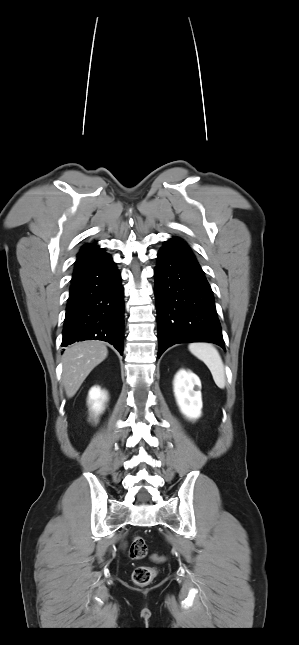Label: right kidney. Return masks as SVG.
Wrapping results in <instances>:
<instances>
[{
	"label": "right kidney",
	"mask_w": 299,
	"mask_h": 645,
	"mask_svg": "<svg viewBox=\"0 0 299 645\" xmlns=\"http://www.w3.org/2000/svg\"><path fill=\"white\" fill-rule=\"evenodd\" d=\"M106 400L107 394L105 391H102L99 386H94L90 389L88 404L91 405V411L95 416L104 410V403Z\"/></svg>",
	"instance_id": "1"
}]
</instances>
